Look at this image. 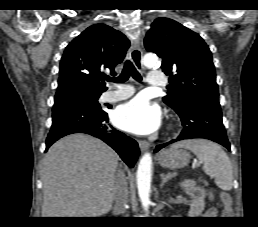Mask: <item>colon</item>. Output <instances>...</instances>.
<instances>
[{
    "label": "colon",
    "mask_w": 258,
    "mask_h": 227,
    "mask_svg": "<svg viewBox=\"0 0 258 227\" xmlns=\"http://www.w3.org/2000/svg\"><path fill=\"white\" fill-rule=\"evenodd\" d=\"M221 199L223 204L222 215L224 216V218H231L232 216L231 196L228 193L223 192L221 194Z\"/></svg>",
    "instance_id": "1"
}]
</instances>
